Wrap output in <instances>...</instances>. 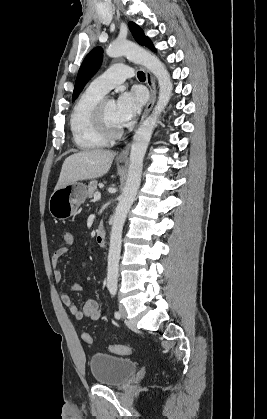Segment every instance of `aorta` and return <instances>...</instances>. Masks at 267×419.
Listing matches in <instances>:
<instances>
[{"instance_id":"762f6f07","label":"aorta","mask_w":267,"mask_h":419,"mask_svg":"<svg viewBox=\"0 0 267 419\" xmlns=\"http://www.w3.org/2000/svg\"><path fill=\"white\" fill-rule=\"evenodd\" d=\"M110 57L126 56L148 69L158 80L159 97L153 113L140 125L133 136L127 180L117 204L110 234L107 287L115 288L118 281L122 230L141 183L143 159L159 115L168 104L173 90L170 74L164 64L152 53L132 42H114L106 50Z\"/></svg>"}]
</instances>
